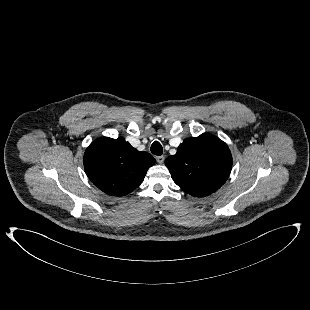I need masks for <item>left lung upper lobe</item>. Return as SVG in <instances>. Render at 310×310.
Returning <instances> with one entry per match:
<instances>
[{"label": "left lung upper lobe", "instance_id": "5c2ea615", "mask_svg": "<svg viewBox=\"0 0 310 310\" xmlns=\"http://www.w3.org/2000/svg\"><path fill=\"white\" fill-rule=\"evenodd\" d=\"M174 182L186 193L204 197L218 190L232 169L231 152L218 137L204 133L187 138L165 160Z\"/></svg>", "mask_w": 310, "mask_h": 310}]
</instances>
